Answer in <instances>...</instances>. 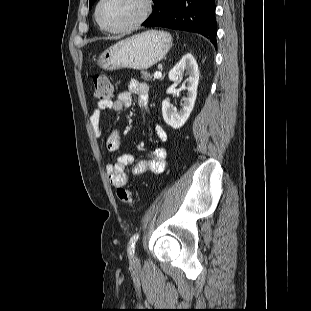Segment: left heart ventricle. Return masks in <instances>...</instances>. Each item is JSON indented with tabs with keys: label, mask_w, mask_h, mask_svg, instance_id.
<instances>
[{
	"label": "left heart ventricle",
	"mask_w": 311,
	"mask_h": 311,
	"mask_svg": "<svg viewBox=\"0 0 311 311\" xmlns=\"http://www.w3.org/2000/svg\"><path fill=\"white\" fill-rule=\"evenodd\" d=\"M140 11L139 0H105L100 8V18L106 25L118 28L135 20Z\"/></svg>",
	"instance_id": "left-heart-ventricle-1"
}]
</instances>
